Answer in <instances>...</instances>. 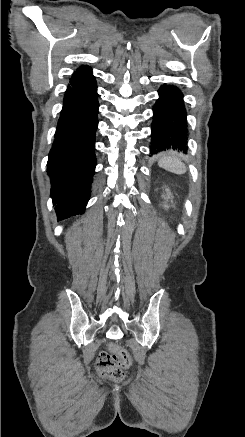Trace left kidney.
<instances>
[{
  "label": "left kidney",
  "mask_w": 245,
  "mask_h": 437,
  "mask_svg": "<svg viewBox=\"0 0 245 437\" xmlns=\"http://www.w3.org/2000/svg\"><path fill=\"white\" fill-rule=\"evenodd\" d=\"M166 192H167V196H163V197H164L165 199H170V198H172V195H171L169 189H166ZM165 208H168V206L165 205Z\"/></svg>",
  "instance_id": "left-kidney-1"
}]
</instances>
